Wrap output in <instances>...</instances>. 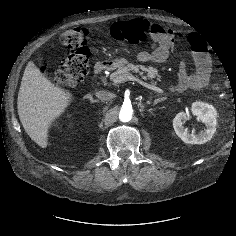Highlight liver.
I'll return each mask as SVG.
<instances>
[{"mask_svg": "<svg viewBox=\"0 0 236 236\" xmlns=\"http://www.w3.org/2000/svg\"><path fill=\"white\" fill-rule=\"evenodd\" d=\"M72 100V93L53 84L34 62L27 64L18 94V115L25 132L41 148H47L50 126Z\"/></svg>", "mask_w": 236, "mask_h": 236, "instance_id": "6515ba94", "label": "liver"}]
</instances>
